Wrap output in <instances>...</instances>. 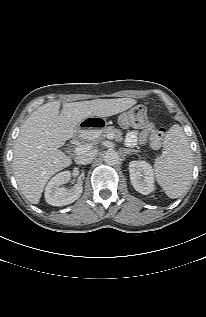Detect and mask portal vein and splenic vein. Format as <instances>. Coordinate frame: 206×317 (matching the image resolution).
I'll use <instances>...</instances> for the list:
<instances>
[{
  "mask_svg": "<svg viewBox=\"0 0 206 317\" xmlns=\"http://www.w3.org/2000/svg\"><path fill=\"white\" fill-rule=\"evenodd\" d=\"M107 138L108 139H113L114 136L112 134H109V135H107ZM90 148H91L90 145H80V146H77L75 148V152H76V154H81V153H84V152L90 150Z\"/></svg>",
  "mask_w": 206,
  "mask_h": 317,
  "instance_id": "portal-vein-and-splenic-vein-1",
  "label": "portal vein and splenic vein"
}]
</instances>
